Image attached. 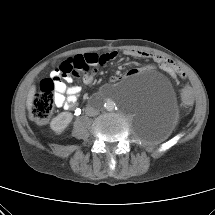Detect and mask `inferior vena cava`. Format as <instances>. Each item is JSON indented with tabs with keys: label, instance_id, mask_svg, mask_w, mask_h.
Returning a JSON list of instances; mask_svg holds the SVG:
<instances>
[{
	"label": "inferior vena cava",
	"instance_id": "1",
	"mask_svg": "<svg viewBox=\"0 0 215 215\" xmlns=\"http://www.w3.org/2000/svg\"><path fill=\"white\" fill-rule=\"evenodd\" d=\"M85 112L88 116H96L99 114V110L94 108L93 106L91 105H88L85 109Z\"/></svg>",
	"mask_w": 215,
	"mask_h": 215
}]
</instances>
